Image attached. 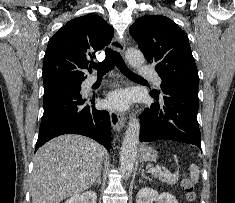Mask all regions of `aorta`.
<instances>
[{
    "label": "aorta",
    "mask_w": 235,
    "mask_h": 203,
    "mask_svg": "<svg viewBox=\"0 0 235 203\" xmlns=\"http://www.w3.org/2000/svg\"><path fill=\"white\" fill-rule=\"evenodd\" d=\"M126 59L134 68L142 66L145 62L143 54L136 49H128L126 52ZM139 134V120L132 117L128 123L120 153V171L123 176L127 178L131 175L134 168L137 156V146L139 143Z\"/></svg>",
    "instance_id": "1"
}]
</instances>
